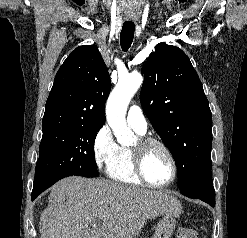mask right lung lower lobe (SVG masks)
<instances>
[{
	"label": "right lung lower lobe",
	"mask_w": 247,
	"mask_h": 238,
	"mask_svg": "<svg viewBox=\"0 0 247 238\" xmlns=\"http://www.w3.org/2000/svg\"><path fill=\"white\" fill-rule=\"evenodd\" d=\"M37 196L36 195H32V200H34Z\"/></svg>",
	"instance_id": "98d812e1"
}]
</instances>
